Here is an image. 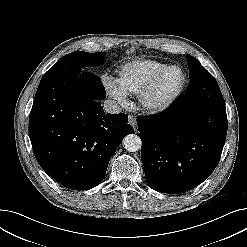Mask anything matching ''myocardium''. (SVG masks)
<instances>
[{"mask_svg":"<svg viewBox=\"0 0 247 247\" xmlns=\"http://www.w3.org/2000/svg\"><path fill=\"white\" fill-rule=\"evenodd\" d=\"M172 71L180 72L181 82L173 90L162 92V81L164 77ZM186 81V73L179 66H169L159 71L140 93V102L142 106L153 113L162 112L168 109L182 94Z\"/></svg>","mask_w":247,"mask_h":247,"instance_id":"obj_1","label":"myocardium"}]
</instances>
